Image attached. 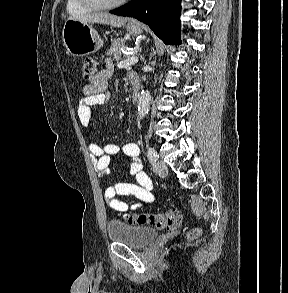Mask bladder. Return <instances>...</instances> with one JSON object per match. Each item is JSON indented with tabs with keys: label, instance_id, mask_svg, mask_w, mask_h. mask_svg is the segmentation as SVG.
I'll use <instances>...</instances> for the list:
<instances>
[{
	"label": "bladder",
	"instance_id": "bladder-1",
	"mask_svg": "<svg viewBox=\"0 0 288 293\" xmlns=\"http://www.w3.org/2000/svg\"><path fill=\"white\" fill-rule=\"evenodd\" d=\"M107 233L112 242L136 249L148 246L158 235L152 227L127 224L118 220L108 222Z\"/></svg>",
	"mask_w": 288,
	"mask_h": 293
}]
</instances>
